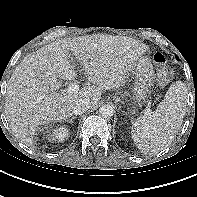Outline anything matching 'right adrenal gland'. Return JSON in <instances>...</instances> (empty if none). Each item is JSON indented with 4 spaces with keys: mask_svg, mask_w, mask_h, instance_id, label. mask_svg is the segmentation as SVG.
Returning a JSON list of instances; mask_svg holds the SVG:
<instances>
[{
    "mask_svg": "<svg viewBox=\"0 0 197 197\" xmlns=\"http://www.w3.org/2000/svg\"><path fill=\"white\" fill-rule=\"evenodd\" d=\"M76 116H72L70 119H69V122H73V119H75Z\"/></svg>",
    "mask_w": 197,
    "mask_h": 197,
    "instance_id": "right-adrenal-gland-1",
    "label": "right adrenal gland"
}]
</instances>
